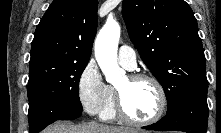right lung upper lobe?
<instances>
[{
  "label": "right lung upper lobe",
  "mask_w": 221,
  "mask_h": 133,
  "mask_svg": "<svg viewBox=\"0 0 221 133\" xmlns=\"http://www.w3.org/2000/svg\"><path fill=\"white\" fill-rule=\"evenodd\" d=\"M97 8V0H54L35 31L29 75L64 64L88 63Z\"/></svg>",
  "instance_id": "obj_1"
}]
</instances>
